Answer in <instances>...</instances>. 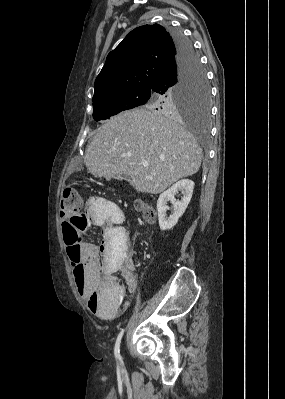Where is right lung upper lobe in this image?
Returning <instances> with one entry per match:
<instances>
[{
  "label": "right lung upper lobe",
  "instance_id": "1",
  "mask_svg": "<svg viewBox=\"0 0 285 399\" xmlns=\"http://www.w3.org/2000/svg\"><path fill=\"white\" fill-rule=\"evenodd\" d=\"M177 55L171 33L158 24L135 28L111 51L95 80L93 99L131 89H151Z\"/></svg>",
  "mask_w": 285,
  "mask_h": 399
}]
</instances>
